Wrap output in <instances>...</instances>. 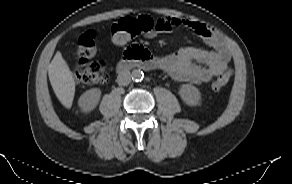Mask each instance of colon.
I'll use <instances>...</instances> for the list:
<instances>
[{"label":"colon","mask_w":292,"mask_h":184,"mask_svg":"<svg viewBox=\"0 0 292 184\" xmlns=\"http://www.w3.org/2000/svg\"><path fill=\"white\" fill-rule=\"evenodd\" d=\"M159 34L156 22L146 15L125 17L118 20L111 28L114 43L122 45L136 36L147 39ZM78 62L74 69L76 81L82 85H96L107 80L105 64L101 61H90L96 51L95 35L92 31L85 32L78 39ZM232 70H227L211 84L213 91L221 90L230 80Z\"/></svg>","instance_id":"5ec220e1"}]
</instances>
